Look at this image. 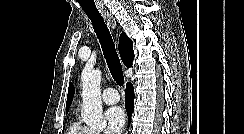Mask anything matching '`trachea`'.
<instances>
[{"instance_id": "1", "label": "trachea", "mask_w": 244, "mask_h": 134, "mask_svg": "<svg viewBox=\"0 0 244 134\" xmlns=\"http://www.w3.org/2000/svg\"><path fill=\"white\" fill-rule=\"evenodd\" d=\"M86 15L92 22L94 31L99 39L104 57L114 81L119 86H122L124 84L122 66L116 52L114 41L103 17L100 13L86 12Z\"/></svg>"}]
</instances>
